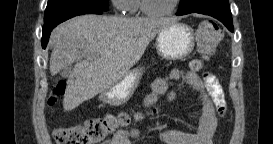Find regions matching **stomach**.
I'll list each match as a JSON object with an SVG mask.
<instances>
[{
  "label": "stomach",
  "instance_id": "1",
  "mask_svg": "<svg viewBox=\"0 0 273 144\" xmlns=\"http://www.w3.org/2000/svg\"><path fill=\"white\" fill-rule=\"evenodd\" d=\"M194 44L193 29L179 22H174L162 29L155 42L158 54L168 60L185 58L193 51ZM142 74V68L137 67L130 70L122 80L105 89L100 95V100L110 106H118L127 102L136 90Z\"/></svg>",
  "mask_w": 273,
  "mask_h": 144
}]
</instances>
